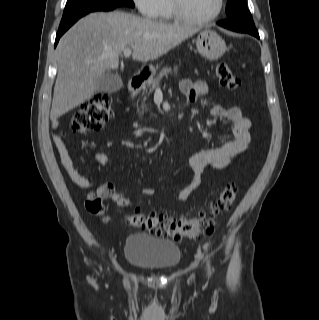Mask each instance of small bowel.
<instances>
[{
  "label": "small bowel",
  "mask_w": 319,
  "mask_h": 320,
  "mask_svg": "<svg viewBox=\"0 0 319 320\" xmlns=\"http://www.w3.org/2000/svg\"><path fill=\"white\" fill-rule=\"evenodd\" d=\"M182 93L190 102H195L199 97L207 93V85L203 81L192 82L183 80L180 84ZM211 115L219 119H227L233 123L234 140L226 142L223 146L215 149L199 151L189 157V165L191 168L190 182L181 189L176 200L183 202L200 186L202 174L206 169L224 170L226 169L233 158L244 152L251 142L250 128L251 121L242 114V111L237 106L225 108L222 105H214L211 108ZM53 127H57V122L53 123ZM55 148L58 152L61 166L69 179L77 186L84 189L94 188L95 193L101 197H109L111 200L119 202L123 197L118 194L107 192V184L94 187L91 180L80 174L76 169L69 150L59 134L53 137ZM92 159L98 164H107L113 167L118 166V162L112 156L96 152ZM157 192L154 187H147L141 190V194L147 197L155 195Z\"/></svg>",
  "instance_id": "small-bowel-1"
}]
</instances>
